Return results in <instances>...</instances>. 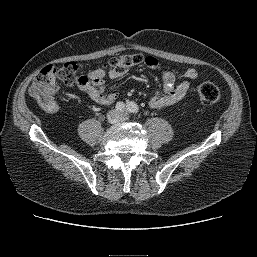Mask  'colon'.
Wrapping results in <instances>:
<instances>
[{"label": "colon", "instance_id": "5ec220e1", "mask_svg": "<svg viewBox=\"0 0 257 257\" xmlns=\"http://www.w3.org/2000/svg\"><path fill=\"white\" fill-rule=\"evenodd\" d=\"M144 62L141 54L132 53L111 58L102 66V71H115L123 74L127 69ZM90 80L89 75H80L78 65L75 62H66L60 67L49 65L44 67L35 77L29 88L30 96L46 111L55 112L59 104L54 97L58 81L68 86L84 85ZM199 100L206 105H212L219 101L220 91L211 82H202L197 88Z\"/></svg>", "mask_w": 257, "mask_h": 257}]
</instances>
